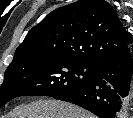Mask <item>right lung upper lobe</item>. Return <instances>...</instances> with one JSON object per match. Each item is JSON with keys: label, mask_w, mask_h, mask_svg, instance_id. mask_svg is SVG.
<instances>
[{"label": "right lung upper lobe", "mask_w": 133, "mask_h": 118, "mask_svg": "<svg viewBox=\"0 0 133 118\" xmlns=\"http://www.w3.org/2000/svg\"><path fill=\"white\" fill-rule=\"evenodd\" d=\"M128 36L106 1L79 0L52 11L34 26L7 69L47 58L97 67L126 50Z\"/></svg>", "instance_id": "1"}]
</instances>
